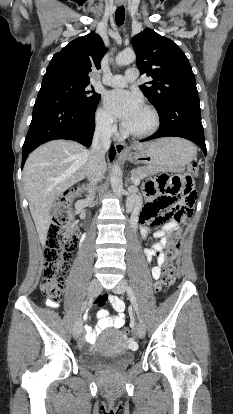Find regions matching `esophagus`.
Instances as JSON below:
<instances>
[{
	"label": "esophagus",
	"mask_w": 233,
	"mask_h": 414,
	"mask_svg": "<svg viewBox=\"0 0 233 414\" xmlns=\"http://www.w3.org/2000/svg\"><path fill=\"white\" fill-rule=\"evenodd\" d=\"M124 0H119V5H123ZM115 150L117 155H125L128 153V149L126 148L125 144L123 142H117L115 144Z\"/></svg>",
	"instance_id": "34e87169"
}]
</instances>
